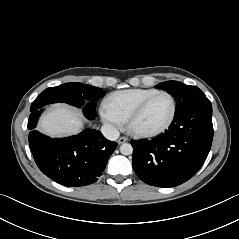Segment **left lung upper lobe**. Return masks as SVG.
I'll list each match as a JSON object with an SVG mask.
<instances>
[{"label": "left lung upper lobe", "instance_id": "5c2ea615", "mask_svg": "<svg viewBox=\"0 0 239 239\" xmlns=\"http://www.w3.org/2000/svg\"><path fill=\"white\" fill-rule=\"evenodd\" d=\"M171 94L176 101L175 114L198 104L209 103L205 94L196 86H189L178 81H167L155 86Z\"/></svg>", "mask_w": 239, "mask_h": 239}]
</instances>
